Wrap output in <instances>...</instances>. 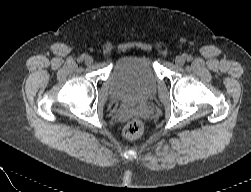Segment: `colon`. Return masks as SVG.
<instances>
[{"label": "colon", "instance_id": "1", "mask_svg": "<svg viewBox=\"0 0 251 192\" xmlns=\"http://www.w3.org/2000/svg\"><path fill=\"white\" fill-rule=\"evenodd\" d=\"M143 133V124L138 119L130 120L123 129V135L126 139L134 140Z\"/></svg>", "mask_w": 251, "mask_h": 192}]
</instances>
